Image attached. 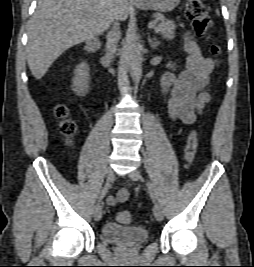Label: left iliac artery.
Listing matches in <instances>:
<instances>
[{"mask_svg":"<svg viewBox=\"0 0 254 267\" xmlns=\"http://www.w3.org/2000/svg\"><path fill=\"white\" fill-rule=\"evenodd\" d=\"M147 184H148V189H149L151 198H152L153 202L156 203L157 198H156V194H155V192H154V190L152 188V185H151V183L149 181L147 182Z\"/></svg>","mask_w":254,"mask_h":267,"instance_id":"1","label":"left iliac artery"}]
</instances>
